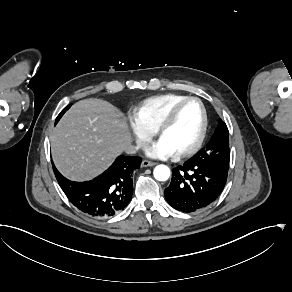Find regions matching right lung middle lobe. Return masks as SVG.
Instances as JSON below:
<instances>
[{
	"label": "right lung middle lobe",
	"instance_id": "dd1d6c3e",
	"mask_svg": "<svg viewBox=\"0 0 292 292\" xmlns=\"http://www.w3.org/2000/svg\"><path fill=\"white\" fill-rule=\"evenodd\" d=\"M70 106L66 107L60 114L59 116L57 117L56 119V123L58 122V120L61 118V116L64 114V112L69 108Z\"/></svg>",
	"mask_w": 292,
	"mask_h": 292
}]
</instances>
